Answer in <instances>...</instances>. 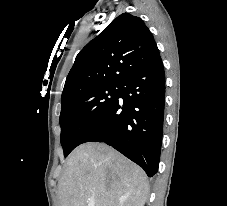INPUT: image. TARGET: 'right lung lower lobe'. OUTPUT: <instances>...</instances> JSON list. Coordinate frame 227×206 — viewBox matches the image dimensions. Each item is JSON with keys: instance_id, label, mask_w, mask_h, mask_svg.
Returning a JSON list of instances; mask_svg holds the SVG:
<instances>
[{"instance_id": "98d812e1", "label": "right lung lower lobe", "mask_w": 227, "mask_h": 206, "mask_svg": "<svg viewBox=\"0 0 227 206\" xmlns=\"http://www.w3.org/2000/svg\"><path fill=\"white\" fill-rule=\"evenodd\" d=\"M123 99V104L119 99ZM165 74L160 56L131 72L117 100L90 130L85 142H105L141 166L157 173L163 130Z\"/></svg>"}]
</instances>
